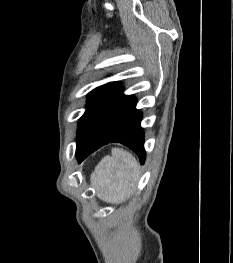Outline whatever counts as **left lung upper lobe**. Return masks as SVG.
Returning a JSON list of instances; mask_svg holds the SVG:
<instances>
[{"label": "left lung upper lobe", "instance_id": "5c2ea615", "mask_svg": "<svg viewBox=\"0 0 233 263\" xmlns=\"http://www.w3.org/2000/svg\"><path fill=\"white\" fill-rule=\"evenodd\" d=\"M121 89L120 83L110 82L95 88L88 94L86 111L78 123L77 149L86 145L101 114Z\"/></svg>", "mask_w": 233, "mask_h": 263}]
</instances>
